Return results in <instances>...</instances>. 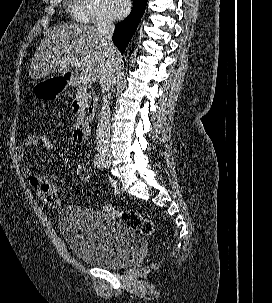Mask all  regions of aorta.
Here are the masks:
<instances>
[{"instance_id":"obj_1","label":"aorta","mask_w":272,"mask_h":303,"mask_svg":"<svg viewBox=\"0 0 272 303\" xmlns=\"http://www.w3.org/2000/svg\"><path fill=\"white\" fill-rule=\"evenodd\" d=\"M128 54H129V50H127V55H126V57H128ZM126 57H125V60H126Z\"/></svg>"}]
</instances>
